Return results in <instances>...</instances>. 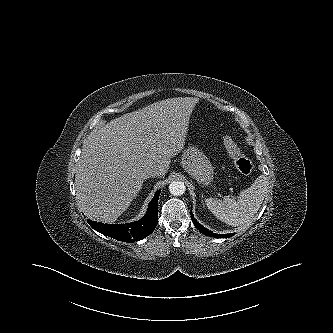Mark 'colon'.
<instances>
[{"label":"colon","mask_w":333,"mask_h":333,"mask_svg":"<svg viewBox=\"0 0 333 333\" xmlns=\"http://www.w3.org/2000/svg\"><path fill=\"white\" fill-rule=\"evenodd\" d=\"M224 146L237 171L243 175L250 174L253 170V164L250 159L241 151L240 147L231 136H225Z\"/></svg>","instance_id":"colon-1"}]
</instances>
